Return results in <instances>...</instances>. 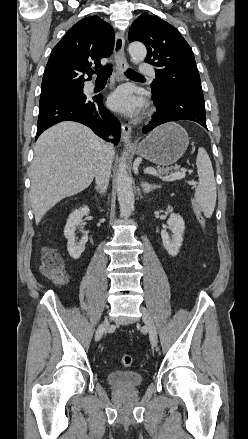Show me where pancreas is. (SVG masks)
<instances>
[{
	"label": "pancreas",
	"mask_w": 248,
	"mask_h": 439,
	"mask_svg": "<svg viewBox=\"0 0 248 439\" xmlns=\"http://www.w3.org/2000/svg\"><path fill=\"white\" fill-rule=\"evenodd\" d=\"M179 169H180L179 166H175V167H172V168H160V167H158V168H157V172H158L159 174H163V175H168V174H170V176H171V175H173V174L180 173ZM173 170H175V172H173ZM180 179H181V178H180Z\"/></svg>",
	"instance_id": "cf45deb5"
}]
</instances>
